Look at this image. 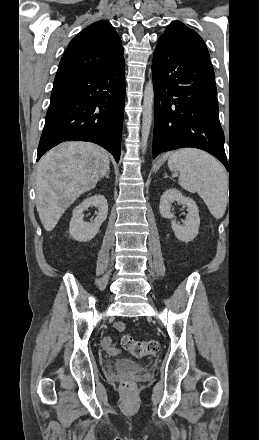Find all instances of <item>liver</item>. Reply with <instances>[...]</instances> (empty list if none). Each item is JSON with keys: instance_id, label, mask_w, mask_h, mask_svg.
<instances>
[{"instance_id": "liver-1", "label": "liver", "mask_w": 259, "mask_h": 440, "mask_svg": "<svg viewBox=\"0 0 259 440\" xmlns=\"http://www.w3.org/2000/svg\"><path fill=\"white\" fill-rule=\"evenodd\" d=\"M110 156L90 142H64L48 151L36 172V208L46 231L109 171Z\"/></svg>"}]
</instances>
